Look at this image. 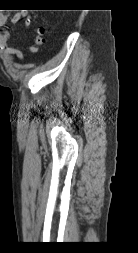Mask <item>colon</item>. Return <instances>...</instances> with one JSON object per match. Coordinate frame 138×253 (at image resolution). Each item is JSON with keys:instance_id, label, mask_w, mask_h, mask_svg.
I'll use <instances>...</instances> for the list:
<instances>
[{"instance_id": "colon-1", "label": "colon", "mask_w": 138, "mask_h": 253, "mask_svg": "<svg viewBox=\"0 0 138 253\" xmlns=\"http://www.w3.org/2000/svg\"><path fill=\"white\" fill-rule=\"evenodd\" d=\"M43 33L44 32L42 29L38 30L37 35L35 37V46L33 47L32 52H37L38 49L45 43V38H44Z\"/></svg>"}]
</instances>
